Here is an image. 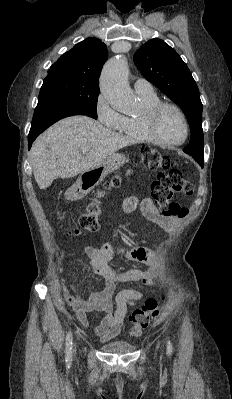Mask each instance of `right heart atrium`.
<instances>
[{
  "mask_svg": "<svg viewBox=\"0 0 232 399\" xmlns=\"http://www.w3.org/2000/svg\"><path fill=\"white\" fill-rule=\"evenodd\" d=\"M109 104L125 103H105V96H101L95 107L96 119L101 121V125H108V129H115L123 115L112 109Z\"/></svg>",
  "mask_w": 232,
  "mask_h": 399,
  "instance_id": "1",
  "label": "right heart atrium"
}]
</instances>
